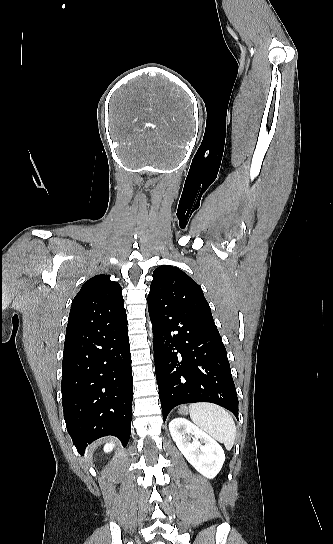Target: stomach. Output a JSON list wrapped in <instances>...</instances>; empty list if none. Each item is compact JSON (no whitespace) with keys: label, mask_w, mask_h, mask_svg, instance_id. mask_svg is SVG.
Here are the masks:
<instances>
[{"label":"stomach","mask_w":333,"mask_h":544,"mask_svg":"<svg viewBox=\"0 0 333 544\" xmlns=\"http://www.w3.org/2000/svg\"><path fill=\"white\" fill-rule=\"evenodd\" d=\"M180 413H181V414H184V413H185V409H184V408H181Z\"/></svg>","instance_id":"stomach-1"}]
</instances>
